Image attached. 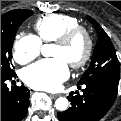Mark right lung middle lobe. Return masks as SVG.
I'll use <instances>...</instances> for the list:
<instances>
[{
	"instance_id": "right-lung-middle-lobe-1",
	"label": "right lung middle lobe",
	"mask_w": 121,
	"mask_h": 121,
	"mask_svg": "<svg viewBox=\"0 0 121 121\" xmlns=\"http://www.w3.org/2000/svg\"><path fill=\"white\" fill-rule=\"evenodd\" d=\"M33 14L31 10L16 9L1 16V75L14 74L11 63L12 46L20 25Z\"/></svg>"
}]
</instances>
